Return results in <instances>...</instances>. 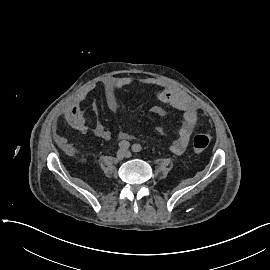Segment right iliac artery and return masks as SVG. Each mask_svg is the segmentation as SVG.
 Segmentation results:
<instances>
[{"label":"right iliac artery","instance_id":"right-iliac-artery-1","mask_svg":"<svg viewBox=\"0 0 270 270\" xmlns=\"http://www.w3.org/2000/svg\"><path fill=\"white\" fill-rule=\"evenodd\" d=\"M118 146L120 149H128L130 146V143L128 141L123 140L118 143Z\"/></svg>","mask_w":270,"mask_h":270}]
</instances>
